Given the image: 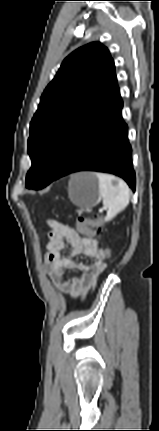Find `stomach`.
<instances>
[{"mask_svg":"<svg viewBox=\"0 0 159 431\" xmlns=\"http://www.w3.org/2000/svg\"><path fill=\"white\" fill-rule=\"evenodd\" d=\"M72 202L81 208H88L100 201L99 181L95 173L81 172L74 174L69 185Z\"/></svg>","mask_w":159,"mask_h":431,"instance_id":"obj_1","label":"stomach"}]
</instances>
